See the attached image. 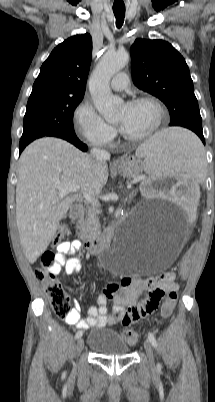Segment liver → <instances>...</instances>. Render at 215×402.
Here are the masks:
<instances>
[{
  "instance_id": "liver-1",
  "label": "liver",
  "mask_w": 215,
  "mask_h": 402,
  "mask_svg": "<svg viewBox=\"0 0 215 402\" xmlns=\"http://www.w3.org/2000/svg\"><path fill=\"white\" fill-rule=\"evenodd\" d=\"M108 180V166L53 137L35 140L19 159L16 222L27 260L36 262L53 239L72 203L85 195H99ZM74 184L79 191L61 197L58 184Z\"/></svg>"
}]
</instances>
